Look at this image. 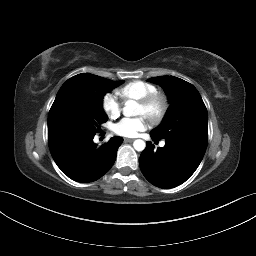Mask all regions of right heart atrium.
<instances>
[{"label": "right heart atrium", "mask_w": 256, "mask_h": 256, "mask_svg": "<svg viewBox=\"0 0 256 256\" xmlns=\"http://www.w3.org/2000/svg\"><path fill=\"white\" fill-rule=\"evenodd\" d=\"M102 108L111 119H116L120 116L121 105L112 94L104 95L102 98Z\"/></svg>", "instance_id": "1"}]
</instances>
